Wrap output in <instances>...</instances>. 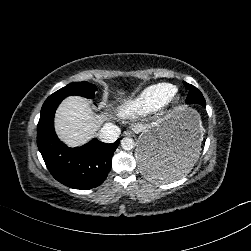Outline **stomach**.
I'll list each match as a JSON object with an SVG mask.
<instances>
[{
  "instance_id": "stomach-1",
  "label": "stomach",
  "mask_w": 251,
  "mask_h": 251,
  "mask_svg": "<svg viewBox=\"0 0 251 251\" xmlns=\"http://www.w3.org/2000/svg\"><path fill=\"white\" fill-rule=\"evenodd\" d=\"M203 132L200 114L184 105L144 129L135 153L143 176L151 182H166L194 168Z\"/></svg>"
}]
</instances>
